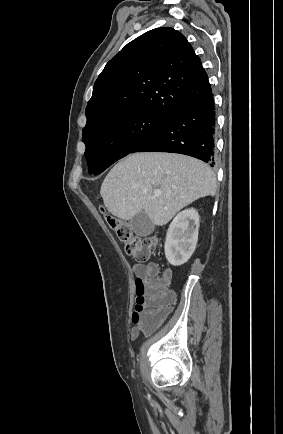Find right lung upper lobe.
I'll use <instances>...</instances> for the list:
<instances>
[{"label":"right lung upper lobe","mask_w":283,"mask_h":434,"mask_svg":"<svg viewBox=\"0 0 283 434\" xmlns=\"http://www.w3.org/2000/svg\"><path fill=\"white\" fill-rule=\"evenodd\" d=\"M210 92L208 75L187 39L173 28H156L106 64L94 84L83 130L136 111L171 117Z\"/></svg>","instance_id":"1"}]
</instances>
